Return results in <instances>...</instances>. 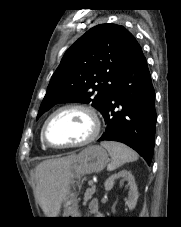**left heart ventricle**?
Returning a JSON list of instances; mask_svg holds the SVG:
<instances>
[{
    "mask_svg": "<svg viewBox=\"0 0 181 227\" xmlns=\"http://www.w3.org/2000/svg\"><path fill=\"white\" fill-rule=\"evenodd\" d=\"M91 131L88 115L79 110H65L57 114L48 127V138L55 144L80 141Z\"/></svg>",
    "mask_w": 181,
    "mask_h": 227,
    "instance_id": "b2bd125f",
    "label": "left heart ventricle"
}]
</instances>
